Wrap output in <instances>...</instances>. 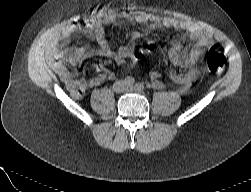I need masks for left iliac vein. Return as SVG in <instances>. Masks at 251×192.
Returning a JSON list of instances; mask_svg holds the SVG:
<instances>
[{
  "label": "left iliac vein",
  "instance_id": "1",
  "mask_svg": "<svg viewBox=\"0 0 251 192\" xmlns=\"http://www.w3.org/2000/svg\"><path fill=\"white\" fill-rule=\"evenodd\" d=\"M130 90H133V88L131 87V88H129Z\"/></svg>",
  "mask_w": 251,
  "mask_h": 192
}]
</instances>
